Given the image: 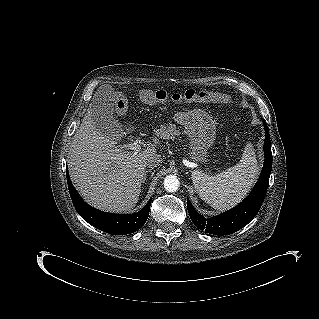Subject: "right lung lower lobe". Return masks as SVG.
Here are the masks:
<instances>
[{
    "label": "right lung lower lobe",
    "mask_w": 319,
    "mask_h": 319,
    "mask_svg": "<svg viewBox=\"0 0 319 319\" xmlns=\"http://www.w3.org/2000/svg\"><path fill=\"white\" fill-rule=\"evenodd\" d=\"M66 176L70 196L77 212L84 220L95 228L113 235H125L139 230L145 224L149 215L151 199L143 209L135 214L129 215L103 212L94 209L84 202L70 181L67 167Z\"/></svg>",
    "instance_id": "right-lung-lower-lobe-1"
}]
</instances>
